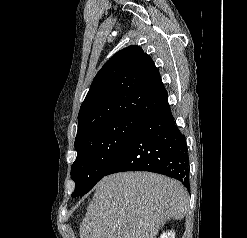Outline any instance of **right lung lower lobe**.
Segmentation results:
<instances>
[{"label":"right lung lower lobe","mask_w":247,"mask_h":238,"mask_svg":"<svg viewBox=\"0 0 247 238\" xmlns=\"http://www.w3.org/2000/svg\"><path fill=\"white\" fill-rule=\"evenodd\" d=\"M124 171L155 172L190 187L185 137L175 124L169 104L145 118L106 175Z\"/></svg>","instance_id":"98d812e1"}]
</instances>
